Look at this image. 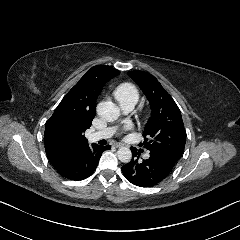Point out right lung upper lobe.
I'll return each instance as SVG.
<instances>
[{
    "label": "right lung upper lobe",
    "mask_w": 240,
    "mask_h": 240,
    "mask_svg": "<svg viewBox=\"0 0 240 240\" xmlns=\"http://www.w3.org/2000/svg\"><path fill=\"white\" fill-rule=\"evenodd\" d=\"M119 71L104 65L89 69L67 93L51 118L44 133L47 157L74 153L89 146L84 132L96 114V100L103 86Z\"/></svg>",
    "instance_id": "obj_1"
}]
</instances>
